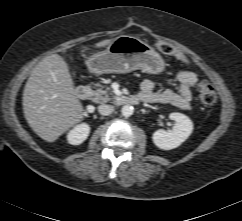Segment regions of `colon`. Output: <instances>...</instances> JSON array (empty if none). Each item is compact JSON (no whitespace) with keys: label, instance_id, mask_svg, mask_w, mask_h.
<instances>
[{"label":"colon","instance_id":"obj_1","mask_svg":"<svg viewBox=\"0 0 242 221\" xmlns=\"http://www.w3.org/2000/svg\"><path fill=\"white\" fill-rule=\"evenodd\" d=\"M157 49L162 53L174 56L185 66L190 65V61L186 55L169 43L160 42L157 44ZM195 86L198 99L202 104L212 105L216 101V90L211 83L198 79L195 83Z\"/></svg>","mask_w":242,"mask_h":221}]
</instances>
